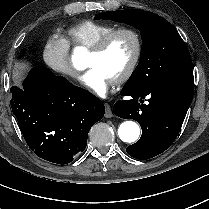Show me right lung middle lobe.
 I'll use <instances>...</instances> for the list:
<instances>
[{
	"label": "right lung middle lobe",
	"mask_w": 209,
	"mask_h": 209,
	"mask_svg": "<svg viewBox=\"0 0 209 209\" xmlns=\"http://www.w3.org/2000/svg\"><path fill=\"white\" fill-rule=\"evenodd\" d=\"M25 49H22L20 53H23L20 57L24 56Z\"/></svg>",
	"instance_id": "1"
}]
</instances>
